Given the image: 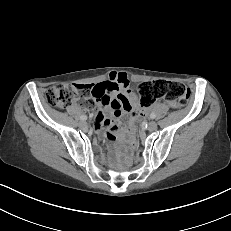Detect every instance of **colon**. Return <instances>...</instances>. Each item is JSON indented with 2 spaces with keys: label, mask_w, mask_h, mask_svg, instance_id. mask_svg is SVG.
<instances>
[{
  "label": "colon",
  "mask_w": 231,
  "mask_h": 231,
  "mask_svg": "<svg viewBox=\"0 0 231 231\" xmlns=\"http://www.w3.org/2000/svg\"><path fill=\"white\" fill-rule=\"evenodd\" d=\"M139 103L142 108L150 106L159 99H165L173 107L184 106L189 97V90L179 82L167 80H152L143 82L138 86ZM46 101L54 107L63 108L72 103L91 106L92 88L90 85L61 84L50 88L46 92ZM136 117L133 114L128 125V144L132 150L137 151L139 144L132 133Z\"/></svg>",
  "instance_id": "obj_1"
}]
</instances>
